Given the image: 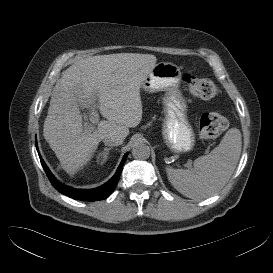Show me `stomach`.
<instances>
[{"label":"stomach","instance_id":"obj_1","mask_svg":"<svg viewBox=\"0 0 273 273\" xmlns=\"http://www.w3.org/2000/svg\"><path fill=\"white\" fill-rule=\"evenodd\" d=\"M180 67L171 62L157 63L141 88L148 93L163 91L165 119L162 127L166 145L175 152H188L195 143V134L187 119V104L179 89Z\"/></svg>","mask_w":273,"mask_h":273}]
</instances>
